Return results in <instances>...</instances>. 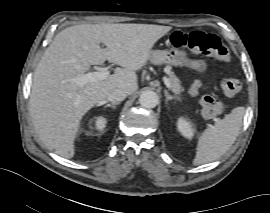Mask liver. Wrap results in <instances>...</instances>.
Wrapping results in <instances>:
<instances>
[{
  "label": "liver",
  "mask_w": 270,
  "mask_h": 213,
  "mask_svg": "<svg viewBox=\"0 0 270 213\" xmlns=\"http://www.w3.org/2000/svg\"><path fill=\"white\" fill-rule=\"evenodd\" d=\"M171 29L150 24H82L59 32L34 72L30 95V115L46 147L72 158L83 116L103 104L112 90L135 93L136 71L147 63L155 43ZM100 43L106 48L102 49ZM106 60L121 66L106 79L83 87L67 81Z\"/></svg>",
  "instance_id": "liver-1"
}]
</instances>
